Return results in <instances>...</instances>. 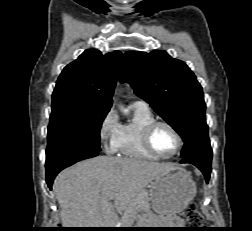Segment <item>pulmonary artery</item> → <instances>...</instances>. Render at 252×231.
I'll return each mask as SVG.
<instances>
[{
	"label": "pulmonary artery",
	"mask_w": 252,
	"mask_h": 231,
	"mask_svg": "<svg viewBox=\"0 0 252 231\" xmlns=\"http://www.w3.org/2000/svg\"><path fill=\"white\" fill-rule=\"evenodd\" d=\"M133 105L148 107V104L145 101H142V100L135 101L133 103Z\"/></svg>",
	"instance_id": "1"
}]
</instances>
